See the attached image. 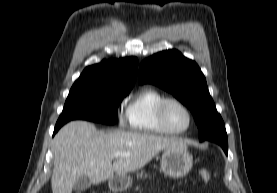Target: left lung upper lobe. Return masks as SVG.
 I'll return each mask as SVG.
<instances>
[{
    "instance_id": "5c2ea615",
    "label": "left lung upper lobe",
    "mask_w": 277,
    "mask_h": 193,
    "mask_svg": "<svg viewBox=\"0 0 277 193\" xmlns=\"http://www.w3.org/2000/svg\"><path fill=\"white\" fill-rule=\"evenodd\" d=\"M139 83H152L172 93L194 115L199 140L226 133L224 122L209 94L206 79L198 65L177 50L159 52L144 60Z\"/></svg>"
}]
</instances>
